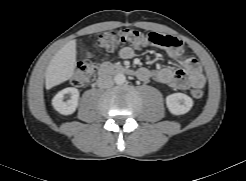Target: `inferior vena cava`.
Segmentation results:
<instances>
[{
    "mask_svg": "<svg viewBox=\"0 0 246 181\" xmlns=\"http://www.w3.org/2000/svg\"><path fill=\"white\" fill-rule=\"evenodd\" d=\"M97 84L100 88H109L113 86L114 81L110 75L104 74V75L99 76L97 80Z\"/></svg>",
    "mask_w": 246,
    "mask_h": 181,
    "instance_id": "602c4592",
    "label": "inferior vena cava"
}]
</instances>
